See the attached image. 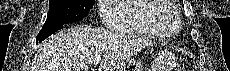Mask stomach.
<instances>
[{
    "label": "stomach",
    "mask_w": 230,
    "mask_h": 71,
    "mask_svg": "<svg viewBox=\"0 0 230 71\" xmlns=\"http://www.w3.org/2000/svg\"><path fill=\"white\" fill-rule=\"evenodd\" d=\"M159 71H172L176 67V57L169 51L160 52L157 58ZM120 71H142L139 66L125 65Z\"/></svg>",
    "instance_id": "1"
}]
</instances>
